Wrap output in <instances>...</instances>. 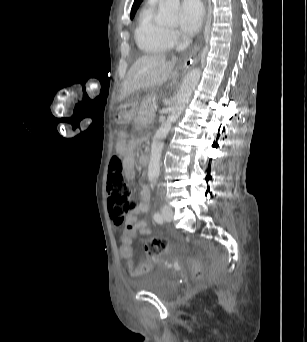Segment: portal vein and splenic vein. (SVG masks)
I'll return each instance as SVG.
<instances>
[{
  "label": "portal vein and splenic vein",
  "mask_w": 307,
  "mask_h": 342,
  "mask_svg": "<svg viewBox=\"0 0 307 342\" xmlns=\"http://www.w3.org/2000/svg\"><path fill=\"white\" fill-rule=\"evenodd\" d=\"M152 110L155 112L157 109L154 107Z\"/></svg>",
  "instance_id": "1"
}]
</instances>
